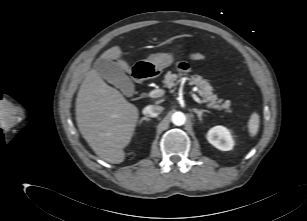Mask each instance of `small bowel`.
I'll use <instances>...</instances> for the list:
<instances>
[{"mask_svg": "<svg viewBox=\"0 0 307 221\" xmlns=\"http://www.w3.org/2000/svg\"><path fill=\"white\" fill-rule=\"evenodd\" d=\"M190 57L193 60L201 61V60H204L205 55L201 52H195V53H192Z\"/></svg>", "mask_w": 307, "mask_h": 221, "instance_id": "obj_1", "label": "small bowel"}]
</instances>
